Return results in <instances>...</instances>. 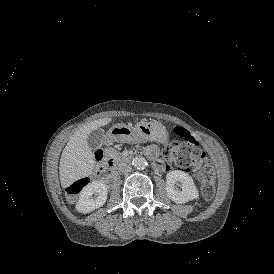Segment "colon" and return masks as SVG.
Wrapping results in <instances>:
<instances>
[{
  "label": "colon",
  "mask_w": 274,
  "mask_h": 274,
  "mask_svg": "<svg viewBox=\"0 0 274 274\" xmlns=\"http://www.w3.org/2000/svg\"><path fill=\"white\" fill-rule=\"evenodd\" d=\"M196 148L176 140L166 145L163 157L173 162L177 168L193 167L197 169L201 183L200 193L203 198L211 199L215 194V170L211 162L200 161L196 157ZM90 183V175H79L78 180H70V184L66 188V194L72 196L78 194L80 189H89Z\"/></svg>",
  "instance_id": "1"
}]
</instances>
